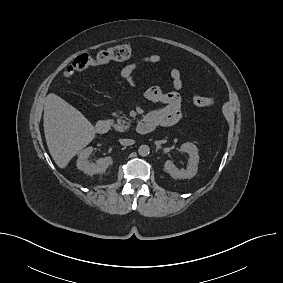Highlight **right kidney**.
<instances>
[{
	"instance_id": "right-kidney-1",
	"label": "right kidney",
	"mask_w": 283,
	"mask_h": 283,
	"mask_svg": "<svg viewBox=\"0 0 283 283\" xmlns=\"http://www.w3.org/2000/svg\"><path fill=\"white\" fill-rule=\"evenodd\" d=\"M93 152L92 147H87L79 153L77 159V168L87 175L103 173L113 164V159L110 156L100 158L96 163H89V156Z\"/></svg>"
}]
</instances>
